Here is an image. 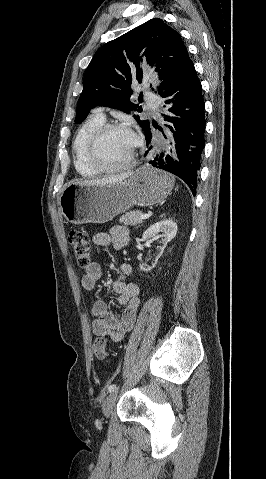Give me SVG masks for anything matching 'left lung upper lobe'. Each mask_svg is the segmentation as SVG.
<instances>
[{
	"instance_id": "1",
	"label": "left lung upper lobe",
	"mask_w": 266,
	"mask_h": 479,
	"mask_svg": "<svg viewBox=\"0 0 266 479\" xmlns=\"http://www.w3.org/2000/svg\"><path fill=\"white\" fill-rule=\"evenodd\" d=\"M143 56L148 63L156 65L163 80L158 93L163 96L192 62L178 32L162 19L147 21L106 43L95 53L85 72L76 123L84 121L95 105L117 108L126 113L137 111L138 106L130 101L131 84L142 82L143 72L138 63ZM130 61H136V73L131 69ZM162 89H166L164 93ZM134 118L144 132L150 128L148 120H141L136 115Z\"/></svg>"
}]
</instances>
